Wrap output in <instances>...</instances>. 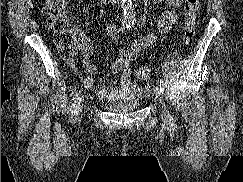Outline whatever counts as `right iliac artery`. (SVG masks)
Here are the masks:
<instances>
[{"label": "right iliac artery", "instance_id": "1", "mask_svg": "<svg viewBox=\"0 0 243 182\" xmlns=\"http://www.w3.org/2000/svg\"><path fill=\"white\" fill-rule=\"evenodd\" d=\"M125 28H129L128 23L123 24L119 31H123ZM79 98H80V91L76 90L74 97L72 99V106L70 108V122L71 123L75 122V116L77 115L76 108H77V103L79 101Z\"/></svg>", "mask_w": 243, "mask_h": 182}]
</instances>
